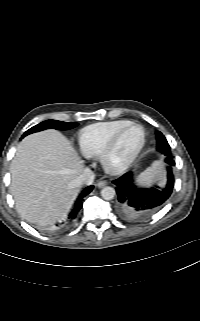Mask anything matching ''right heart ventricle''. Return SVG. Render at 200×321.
Listing matches in <instances>:
<instances>
[{
  "label": "right heart ventricle",
  "mask_w": 200,
  "mask_h": 321,
  "mask_svg": "<svg viewBox=\"0 0 200 321\" xmlns=\"http://www.w3.org/2000/svg\"><path fill=\"white\" fill-rule=\"evenodd\" d=\"M130 122L129 120L122 119L98 122L84 127L78 135L81 152L90 158L100 156L114 134Z\"/></svg>",
  "instance_id": "e07e8e85"
}]
</instances>
